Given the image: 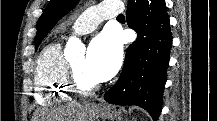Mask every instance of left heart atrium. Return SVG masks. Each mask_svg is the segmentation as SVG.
<instances>
[{
  "mask_svg": "<svg viewBox=\"0 0 217 121\" xmlns=\"http://www.w3.org/2000/svg\"><path fill=\"white\" fill-rule=\"evenodd\" d=\"M122 59L120 41L111 30H105L91 42L87 56L86 69L96 81L110 79L118 70Z\"/></svg>",
  "mask_w": 217,
  "mask_h": 121,
  "instance_id": "obj_1",
  "label": "left heart atrium"
}]
</instances>
